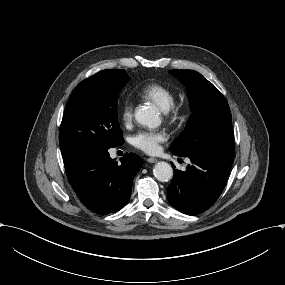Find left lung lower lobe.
<instances>
[{
    "mask_svg": "<svg viewBox=\"0 0 285 285\" xmlns=\"http://www.w3.org/2000/svg\"><path fill=\"white\" fill-rule=\"evenodd\" d=\"M187 157L192 164L184 172L174 169L167 197L170 204L180 212L198 215L210 208L224 189L233 152L209 150Z\"/></svg>",
    "mask_w": 285,
    "mask_h": 285,
    "instance_id": "left-lung-lower-lobe-1",
    "label": "left lung lower lobe"
}]
</instances>
